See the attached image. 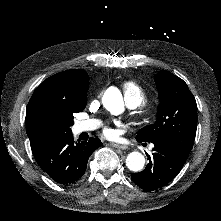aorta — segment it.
<instances>
[{
  "label": "aorta",
  "instance_id": "1",
  "mask_svg": "<svg viewBox=\"0 0 221 221\" xmlns=\"http://www.w3.org/2000/svg\"><path fill=\"white\" fill-rule=\"evenodd\" d=\"M105 106L112 112H120L123 107L122 97L119 92L110 100L108 97L104 99ZM145 165V158L140 152H131L126 159V166L133 172H140Z\"/></svg>",
  "mask_w": 221,
  "mask_h": 221
}]
</instances>
